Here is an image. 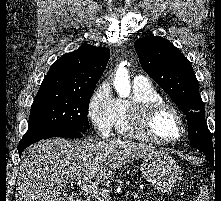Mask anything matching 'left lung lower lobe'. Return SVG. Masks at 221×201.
<instances>
[{
  "label": "left lung lower lobe",
  "mask_w": 221,
  "mask_h": 201,
  "mask_svg": "<svg viewBox=\"0 0 221 201\" xmlns=\"http://www.w3.org/2000/svg\"><path fill=\"white\" fill-rule=\"evenodd\" d=\"M206 154V160L209 161L212 165H214V154Z\"/></svg>",
  "instance_id": "1"
}]
</instances>
